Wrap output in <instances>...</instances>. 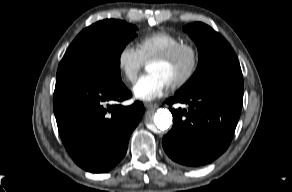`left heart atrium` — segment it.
Listing matches in <instances>:
<instances>
[{
    "label": "left heart atrium",
    "instance_id": "39dd6f15",
    "mask_svg": "<svg viewBox=\"0 0 292 192\" xmlns=\"http://www.w3.org/2000/svg\"><path fill=\"white\" fill-rule=\"evenodd\" d=\"M168 87V82L161 75L149 71L135 83L133 93L140 100L150 101L162 96Z\"/></svg>",
    "mask_w": 292,
    "mask_h": 192
}]
</instances>
